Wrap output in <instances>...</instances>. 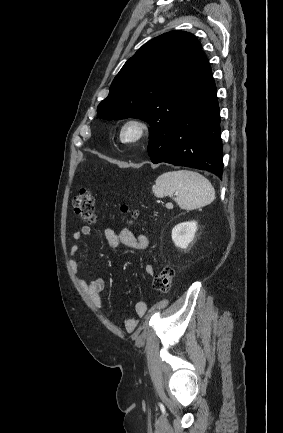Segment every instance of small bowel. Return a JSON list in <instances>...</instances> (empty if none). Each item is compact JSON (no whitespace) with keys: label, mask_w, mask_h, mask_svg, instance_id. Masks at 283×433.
<instances>
[{"label":"small bowel","mask_w":283,"mask_h":433,"mask_svg":"<svg viewBox=\"0 0 283 433\" xmlns=\"http://www.w3.org/2000/svg\"><path fill=\"white\" fill-rule=\"evenodd\" d=\"M91 232V226L84 225L72 235V245L70 248L71 266L76 274L80 271L79 264L76 260L80 241L82 238L88 237ZM104 237L108 245L112 248L125 245L135 250H145L149 245V240L146 235L139 234L136 236L129 228H123L120 232H116L113 229H106L104 231ZM145 273L148 276H153L155 273L154 266L152 264H147L145 266ZM77 281L81 288L91 298L95 306L100 308L102 305V295L105 289V281L103 279L85 280L80 277L77 278ZM146 310L147 304L145 301H139L136 303L135 311L137 316L129 317L124 321L127 331L133 332L137 328L139 319L145 314Z\"/></svg>","instance_id":"obj_1"}]
</instances>
